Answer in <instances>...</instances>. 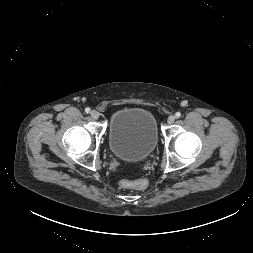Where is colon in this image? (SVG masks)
Wrapping results in <instances>:
<instances>
[{"instance_id":"obj_1","label":"colon","mask_w":253,"mask_h":253,"mask_svg":"<svg viewBox=\"0 0 253 253\" xmlns=\"http://www.w3.org/2000/svg\"><path fill=\"white\" fill-rule=\"evenodd\" d=\"M120 187L124 189H135V190H143L147 188L148 181L145 179H139L136 181H128V180H122L119 183Z\"/></svg>"}]
</instances>
